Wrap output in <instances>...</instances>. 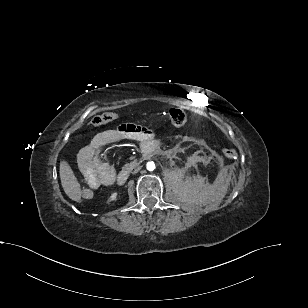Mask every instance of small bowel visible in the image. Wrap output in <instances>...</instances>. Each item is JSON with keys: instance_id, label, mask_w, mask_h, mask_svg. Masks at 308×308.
Listing matches in <instances>:
<instances>
[{"instance_id": "small-bowel-1", "label": "small bowel", "mask_w": 308, "mask_h": 308, "mask_svg": "<svg viewBox=\"0 0 308 308\" xmlns=\"http://www.w3.org/2000/svg\"><path fill=\"white\" fill-rule=\"evenodd\" d=\"M153 138L154 134L151 129L133 123L121 124L116 128L96 134L78 155L79 169L86 185L95 189L112 184L115 170L103 158L104 149L108 145L124 140L144 143Z\"/></svg>"}]
</instances>
